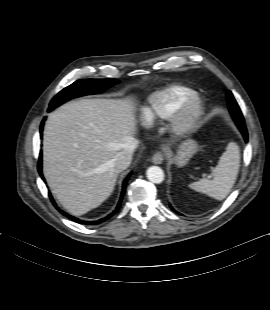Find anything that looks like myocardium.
Instances as JSON below:
<instances>
[{
  "label": "myocardium",
  "mask_w": 270,
  "mask_h": 310,
  "mask_svg": "<svg viewBox=\"0 0 270 310\" xmlns=\"http://www.w3.org/2000/svg\"><path fill=\"white\" fill-rule=\"evenodd\" d=\"M205 109L203 98L196 92L183 99L167 119V132L173 138H184L194 133Z\"/></svg>",
  "instance_id": "myocardium-1"
}]
</instances>
